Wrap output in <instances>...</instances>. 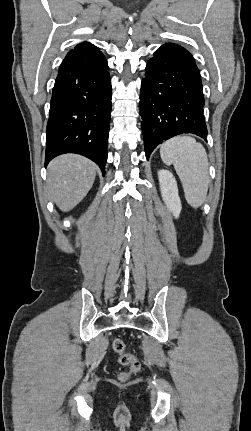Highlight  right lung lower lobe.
Listing matches in <instances>:
<instances>
[{
    "mask_svg": "<svg viewBox=\"0 0 251 431\" xmlns=\"http://www.w3.org/2000/svg\"><path fill=\"white\" fill-rule=\"evenodd\" d=\"M108 68L94 45L75 47L66 55L50 102L45 165L60 154L77 153L105 174L111 114Z\"/></svg>",
    "mask_w": 251,
    "mask_h": 431,
    "instance_id": "obj_1",
    "label": "right lung lower lobe"
}]
</instances>
